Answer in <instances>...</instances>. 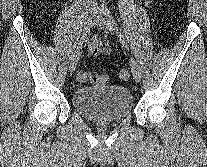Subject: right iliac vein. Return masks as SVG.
Masks as SVG:
<instances>
[{"label": "right iliac vein", "instance_id": "obj_1", "mask_svg": "<svg viewBox=\"0 0 207 167\" xmlns=\"http://www.w3.org/2000/svg\"><path fill=\"white\" fill-rule=\"evenodd\" d=\"M93 11L92 9H87L86 11V15H85V21H84V34L93 26ZM84 34L82 39L84 38ZM82 48V47H81ZM77 49L71 59V63H70V67L69 70L72 73L79 61V57H80V49Z\"/></svg>", "mask_w": 207, "mask_h": 167}]
</instances>
